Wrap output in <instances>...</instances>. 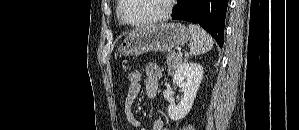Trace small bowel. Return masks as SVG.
<instances>
[{"label": "small bowel", "instance_id": "obj_1", "mask_svg": "<svg viewBox=\"0 0 299 130\" xmlns=\"http://www.w3.org/2000/svg\"><path fill=\"white\" fill-rule=\"evenodd\" d=\"M145 74L147 76L146 82H145V90L148 96L153 97L158 89V79L161 76V70L160 68L154 64L149 63L145 67ZM141 91V84L129 87L125 101H124V113L127 121L134 127H139L140 122L137 119V117L134 114L133 111V105L139 96ZM151 130H165L164 129V123L160 118H156L152 121Z\"/></svg>", "mask_w": 299, "mask_h": 130}]
</instances>
